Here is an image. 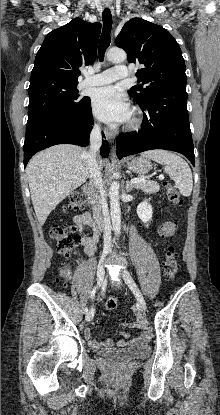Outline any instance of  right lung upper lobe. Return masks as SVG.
<instances>
[{"mask_svg": "<svg viewBox=\"0 0 220 415\" xmlns=\"http://www.w3.org/2000/svg\"><path fill=\"white\" fill-rule=\"evenodd\" d=\"M100 31V23L80 18L51 31L37 52L30 80L48 77L78 82L79 67L96 59Z\"/></svg>", "mask_w": 220, "mask_h": 415, "instance_id": "cb5924a9", "label": "right lung upper lobe"}]
</instances>
